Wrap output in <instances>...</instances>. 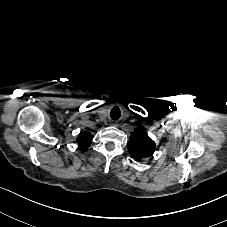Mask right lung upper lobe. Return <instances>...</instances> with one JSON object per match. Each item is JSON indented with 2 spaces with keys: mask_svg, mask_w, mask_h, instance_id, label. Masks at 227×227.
<instances>
[{
  "mask_svg": "<svg viewBox=\"0 0 227 227\" xmlns=\"http://www.w3.org/2000/svg\"><path fill=\"white\" fill-rule=\"evenodd\" d=\"M92 136L89 135V132H82L77 138L78 146L82 150H86L91 143Z\"/></svg>",
  "mask_w": 227,
  "mask_h": 227,
  "instance_id": "right-lung-upper-lobe-1",
  "label": "right lung upper lobe"
}]
</instances>
